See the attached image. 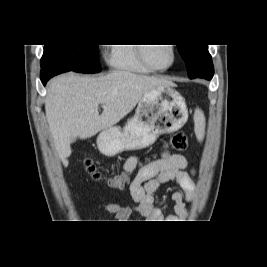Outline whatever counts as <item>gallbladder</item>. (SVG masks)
<instances>
[{
  "mask_svg": "<svg viewBox=\"0 0 267 267\" xmlns=\"http://www.w3.org/2000/svg\"><path fill=\"white\" fill-rule=\"evenodd\" d=\"M71 142H72V143H73V142H75V138H74V139H72V140H71Z\"/></svg>",
  "mask_w": 267,
  "mask_h": 267,
  "instance_id": "obj_1",
  "label": "gallbladder"
}]
</instances>
